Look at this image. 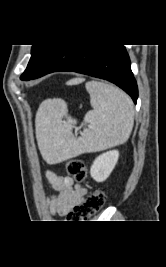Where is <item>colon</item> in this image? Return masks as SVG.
Here are the masks:
<instances>
[{"mask_svg": "<svg viewBox=\"0 0 166 267\" xmlns=\"http://www.w3.org/2000/svg\"><path fill=\"white\" fill-rule=\"evenodd\" d=\"M67 173L77 182H83L87 177V169L79 159L69 160L66 164ZM105 203V193L102 190H93L83 202L76 205L67 215V222H83L98 212Z\"/></svg>", "mask_w": 166, "mask_h": 267, "instance_id": "1", "label": "colon"}]
</instances>
